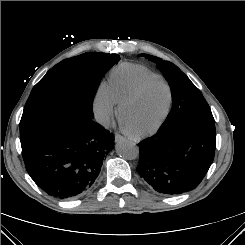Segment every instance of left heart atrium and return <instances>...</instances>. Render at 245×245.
Returning <instances> with one entry per match:
<instances>
[{
  "instance_id": "obj_1",
  "label": "left heart atrium",
  "mask_w": 245,
  "mask_h": 245,
  "mask_svg": "<svg viewBox=\"0 0 245 245\" xmlns=\"http://www.w3.org/2000/svg\"><path fill=\"white\" fill-rule=\"evenodd\" d=\"M122 124L124 125V127H126L127 129H129V127L127 126V124L125 123V121H122Z\"/></svg>"
}]
</instances>
